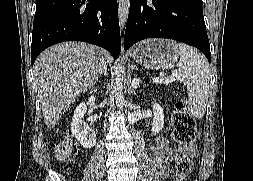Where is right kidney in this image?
I'll list each match as a JSON object with an SVG mask.
<instances>
[{
    "label": "right kidney",
    "instance_id": "right-kidney-1",
    "mask_svg": "<svg viewBox=\"0 0 253 181\" xmlns=\"http://www.w3.org/2000/svg\"><path fill=\"white\" fill-rule=\"evenodd\" d=\"M95 96L88 99L89 104L95 103ZM87 110L84 102H81L75 109L71 122L72 135L77 139V144H80L85 149H90L96 144V133L89 125L82 120Z\"/></svg>",
    "mask_w": 253,
    "mask_h": 181
}]
</instances>
